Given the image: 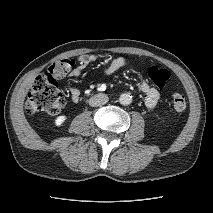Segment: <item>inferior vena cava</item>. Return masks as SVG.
I'll return each mask as SVG.
<instances>
[{
  "label": "inferior vena cava",
  "instance_id": "602c4592",
  "mask_svg": "<svg viewBox=\"0 0 213 213\" xmlns=\"http://www.w3.org/2000/svg\"><path fill=\"white\" fill-rule=\"evenodd\" d=\"M108 100L109 98L106 94L99 93L89 99V105L92 107H97L106 104Z\"/></svg>",
  "mask_w": 213,
  "mask_h": 213
}]
</instances>
